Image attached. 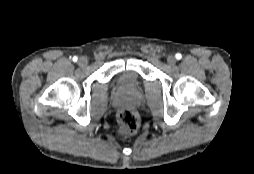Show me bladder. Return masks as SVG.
Masks as SVG:
<instances>
[{
	"instance_id": "bladder-1",
	"label": "bladder",
	"mask_w": 254,
	"mask_h": 174,
	"mask_svg": "<svg viewBox=\"0 0 254 174\" xmlns=\"http://www.w3.org/2000/svg\"><path fill=\"white\" fill-rule=\"evenodd\" d=\"M132 77L130 73L125 74V76L121 79V85L124 88H131L134 85V82L130 81L129 78Z\"/></svg>"
}]
</instances>
